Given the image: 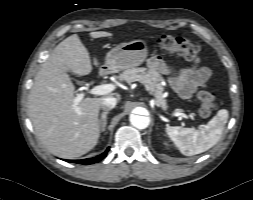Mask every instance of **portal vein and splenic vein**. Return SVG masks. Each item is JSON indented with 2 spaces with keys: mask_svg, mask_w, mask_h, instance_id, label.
<instances>
[{
  "mask_svg": "<svg viewBox=\"0 0 253 200\" xmlns=\"http://www.w3.org/2000/svg\"><path fill=\"white\" fill-rule=\"evenodd\" d=\"M115 85L114 84H102V85H97L92 87L90 90H88L86 93L90 95H106L112 91L115 90ZM86 93L82 92L77 94V96L74 99V107L78 111V105L81 102V100L84 98ZM174 116L179 117V118H188L186 114L175 112Z\"/></svg>",
  "mask_w": 253,
  "mask_h": 200,
  "instance_id": "1",
  "label": "portal vein and splenic vein"
}]
</instances>
